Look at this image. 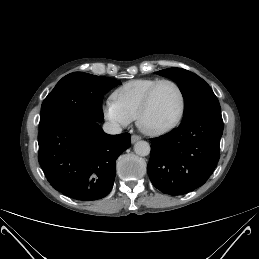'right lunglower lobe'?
Segmentation results:
<instances>
[{
	"mask_svg": "<svg viewBox=\"0 0 259 259\" xmlns=\"http://www.w3.org/2000/svg\"><path fill=\"white\" fill-rule=\"evenodd\" d=\"M39 129L38 160L53 188L80 201L110 192L116 159L130 146L128 133L109 135L98 122L76 118L56 119Z\"/></svg>",
	"mask_w": 259,
	"mask_h": 259,
	"instance_id": "1",
	"label": "right lung lower lobe"
}]
</instances>
